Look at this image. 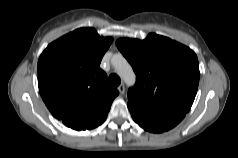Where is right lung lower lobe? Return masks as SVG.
Wrapping results in <instances>:
<instances>
[{"label": "right lung lower lobe", "instance_id": "right-lung-lower-lobe-1", "mask_svg": "<svg viewBox=\"0 0 238 158\" xmlns=\"http://www.w3.org/2000/svg\"><path fill=\"white\" fill-rule=\"evenodd\" d=\"M108 112L109 111H105L96 114L93 113L59 120H61L67 127L81 131L86 129H93L102 124L105 121Z\"/></svg>", "mask_w": 238, "mask_h": 158}]
</instances>
